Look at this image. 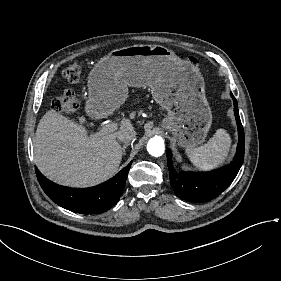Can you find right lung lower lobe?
I'll return each mask as SVG.
<instances>
[{
	"instance_id": "1",
	"label": "right lung lower lobe",
	"mask_w": 281,
	"mask_h": 281,
	"mask_svg": "<svg viewBox=\"0 0 281 281\" xmlns=\"http://www.w3.org/2000/svg\"><path fill=\"white\" fill-rule=\"evenodd\" d=\"M131 163L105 183L84 190L60 188L46 181L37 169L36 174L45 193L59 206L77 213L97 214L109 210L118 202Z\"/></svg>"
}]
</instances>
